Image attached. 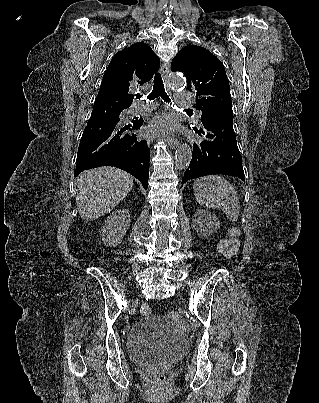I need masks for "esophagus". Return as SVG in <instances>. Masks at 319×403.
<instances>
[{"label":"esophagus","instance_id":"34e87169","mask_svg":"<svg viewBox=\"0 0 319 403\" xmlns=\"http://www.w3.org/2000/svg\"><path fill=\"white\" fill-rule=\"evenodd\" d=\"M169 71H170V66L167 63L163 64L160 68V73L164 79L167 78ZM166 142L172 149H175L179 146V140L173 136H167Z\"/></svg>","mask_w":319,"mask_h":403}]
</instances>
